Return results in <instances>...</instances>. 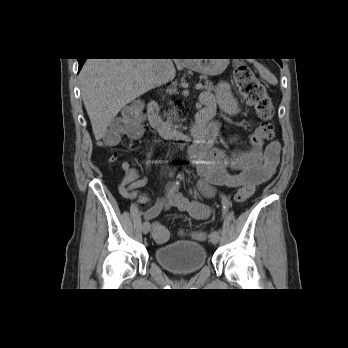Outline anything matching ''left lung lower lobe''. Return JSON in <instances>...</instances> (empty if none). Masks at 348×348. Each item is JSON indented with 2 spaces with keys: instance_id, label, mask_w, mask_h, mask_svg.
Instances as JSON below:
<instances>
[{
  "instance_id": "1",
  "label": "left lung lower lobe",
  "mask_w": 348,
  "mask_h": 348,
  "mask_svg": "<svg viewBox=\"0 0 348 348\" xmlns=\"http://www.w3.org/2000/svg\"><path fill=\"white\" fill-rule=\"evenodd\" d=\"M281 66H282V62L281 60H276Z\"/></svg>"
}]
</instances>
